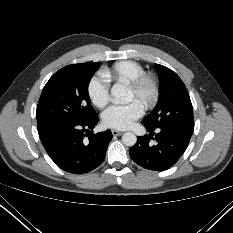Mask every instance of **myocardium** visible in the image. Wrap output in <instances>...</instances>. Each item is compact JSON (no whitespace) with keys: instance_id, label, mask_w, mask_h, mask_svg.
<instances>
[{"instance_id":"obj_1","label":"myocardium","mask_w":233,"mask_h":233,"mask_svg":"<svg viewBox=\"0 0 233 233\" xmlns=\"http://www.w3.org/2000/svg\"><path fill=\"white\" fill-rule=\"evenodd\" d=\"M129 84L145 108L156 105L160 97V85L154 74L144 72Z\"/></svg>"}]
</instances>
